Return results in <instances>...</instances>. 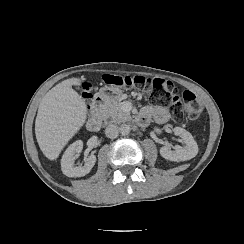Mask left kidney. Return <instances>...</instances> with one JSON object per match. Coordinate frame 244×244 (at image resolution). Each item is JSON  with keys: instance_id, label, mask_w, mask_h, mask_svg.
<instances>
[{"instance_id": "5707ae66", "label": "left kidney", "mask_w": 244, "mask_h": 244, "mask_svg": "<svg viewBox=\"0 0 244 244\" xmlns=\"http://www.w3.org/2000/svg\"><path fill=\"white\" fill-rule=\"evenodd\" d=\"M175 135L180 136L185 143L184 147L176 145L174 150H171L169 145L163 146L160 149V154L163 158L170 161H186L194 158L198 154V145L193 136L187 130L181 127L173 129Z\"/></svg>"}]
</instances>
